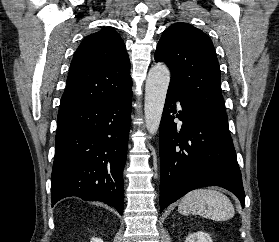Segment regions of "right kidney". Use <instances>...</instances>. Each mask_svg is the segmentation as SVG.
<instances>
[{"label":"right kidney","instance_id":"obj_1","mask_svg":"<svg viewBox=\"0 0 279 242\" xmlns=\"http://www.w3.org/2000/svg\"><path fill=\"white\" fill-rule=\"evenodd\" d=\"M90 242H103V240L97 237H93Z\"/></svg>","mask_w":279,"mask_h":242}]
</instances>
